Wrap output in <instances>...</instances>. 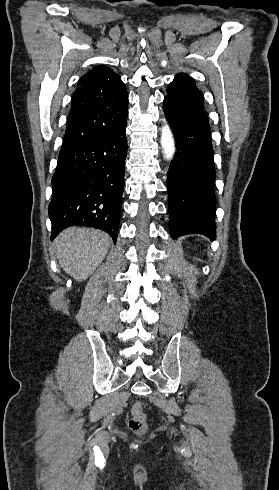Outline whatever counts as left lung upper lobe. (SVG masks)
I'll list each match as a JSON object with an SVG mask.
<instances>
[{"label": "left lung upper lobe", "mask_w": 279, "mask_h": 490, "mask_svg": "<svg viewBox=\"0 0 279 490\" xmlns=\"http://www.w3.org/2000/svg\"><path fill=\"white\" fill-rule=\"evenodd\" d=\"M169 97L192 108L204 110V98L188 75L177 74L167 89Z\"/></svg>", "instance_id": "5c2ea615"}]
</instances>
